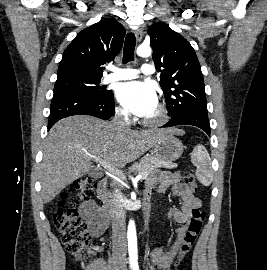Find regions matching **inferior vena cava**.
<instances>
[{"label": "inferior vena cava", "mask_w": 267, "mask_h": 270, "mask_svg": "<svg viewBox=\"0 0 267 270\" xmlns=\"http://www.w3.org/2000/svg\"><path fill=\"white\" fill-rule=\"evenodd\" d=\"M112 124L119 129H129L130 122L127 114L120 112L114 117ZM110 213L113 218V241L117 249L116 260L120 264H125L127 247L124 221L125 210L123 207V195L117 188L110 195Z\"/></svg>", "instance_id": "inferior-vena-cava-1"}]
</instances>
